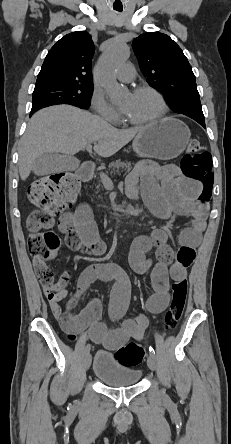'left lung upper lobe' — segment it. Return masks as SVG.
I'll return each mask as SVG.
<instances>
[{
    "instance_id": "5c2ea615",
    "label": "left lung upper lobe",
    "mask_w": 231,
    "mask_h": 444,
    "mask_svg": "<svg viewBox=\"0 0 231 444\" xmlns=\"http://www.w3.org/2000/svg\"><path fill=\"white\" fill-rule=\"evenodd\" d=\"M132 47L147 82L164 93L171 108L204 120L195 76L181 48L160 32L141 34Z\"/></svg>"
}]
</instances>
